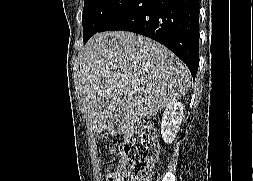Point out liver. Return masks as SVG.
Listing matches in <instances>:
<instances>
[{
  "label": "liver",
  "mask_w": 253,
  "mask_h": 181,
  "mask_svg": "<svg viewBox=\"0 0 253 181\" xmlns=\"http://www.w3.org/2000/svg\"><path fill=\"white\" fill-rule=\"evenodd\" d=\"M81 94L97 133L151 119L185 96L190 72L158 42L126 31L94 35L80 56Z\"/></svg>",
  "instance_id": "1"
}]
</instances>
